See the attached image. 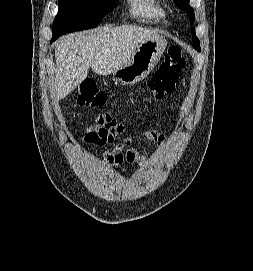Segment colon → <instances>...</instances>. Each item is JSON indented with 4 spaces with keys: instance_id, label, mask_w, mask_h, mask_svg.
Masks as SVG:
<instances>
[{
    "instance_id": "5ec220e1",
    "label": "colon",
    "mask_w": 253,
    "mask_h": 271,
    "mask_svg": "<svg viewBox=\"0 0 253 271\" xmlns=\"http://www.w3.org/2000/svg\"><path fill=\"white\" fill-rule=\"evenodd\" d=\"M184 65L185 60L181 49L178 46H171L150 79L146 95L154 101H160L170 94L174 90L175 83ZM107 99V94L99 91L91 79H86L81 83L77 96L79 104L100 107L106 103Z\"/></svg>"
}]
</instances>
